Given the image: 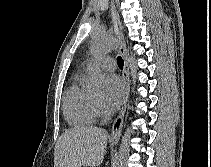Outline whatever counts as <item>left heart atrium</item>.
<instances>
[{"mask_svg": "<svg viewBox=\"0 0 211 167\" xmlns=\"http://www.w3.org/2000/svg\"><path fill=\"white\" fill-rule=\"evenodd\" d=\"M124 94V85L116 75H110L107 79V87L102 100V107L111 112L118 108Z\"/></svg>", "mask_w": 211, "mask_h": 167, "instance_id": "left-heart-atrium-1", "label": "left heart atrium"}]
</instances>
